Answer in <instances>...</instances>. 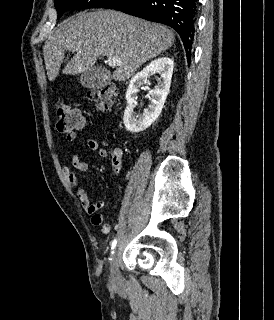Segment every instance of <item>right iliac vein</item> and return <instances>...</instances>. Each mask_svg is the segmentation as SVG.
I'll list each match as a JSON object with an SVG mask.
<instances>
[{
    "label": "right iliac vein",
    "mask_w": 274,
    "mask_h": 320,
    "mask_svg": "<svg viewBox=\"0 0 274 320\" xmlns=\"http://www.w3.org/2000/svg\"><path fill=\"white\" fill-rule=\"evenodd\" d=\"M110 272L112 285L115 288H120L123 284V281L119 271V253L117 250L111 258Z\"/></svg>",
    "instance_id": "63e3f726"
}]
</instances>
